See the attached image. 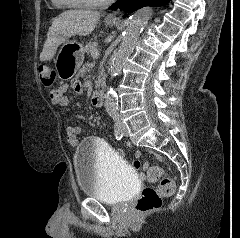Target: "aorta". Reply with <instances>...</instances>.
<instances>
[{
	"mask_svg": "<svg viewBox=\"0 0 240 238\" xmlns=\"http://www.w3.org/2000/svg\"><path fill=\"white\" fill-rule=\"evenodd\" d=\"M153 10L151 7H144L136 11L129 19L128 26L119 50L112 59L110 67V78L113 79L120 72L123 64L128 59L129 55L134 50L138 37L147 25L152 16ZM105 108L107 113L115 117L118 114V100L113 88H109L105 95Z\"/></svg>",
	"mask_w": 240,
	"mask_h": 238,
	"instance_id": "obj_1",
	"label": "aorta"
}]
</instances>
